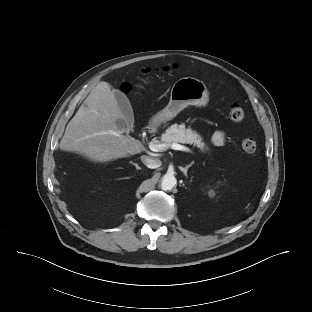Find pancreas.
<instances>
[{
  "label": "pancreas",
  "mask_w": 312,
  "mask_h": 312,
  "mask_svg": "<svg viewBox=\"0 0 312 312\" xmlns=\"http://www.w3.org/2000/svg\"><path fill=\"white\" fill-rule=\"evenodd\" d=\"M161 142L167 145L174 143L193 144V146H196L202 152L209 150L203 142V138L190 127L186 128L183 123L180 125L174 124L168 127L166 132L161 136Z\"/></svg>",
  "instance_id": "pancreas-1"
}]
</instances>
